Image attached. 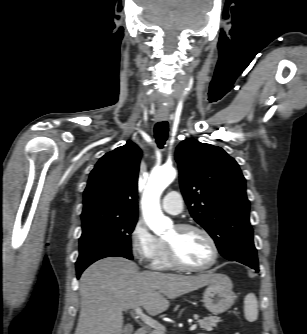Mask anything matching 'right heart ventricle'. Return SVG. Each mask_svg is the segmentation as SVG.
Returning <instances> with one entry per match:
<instances>
[{
    "mask_svg": "<svg viewBox=\"0 0 307 334\" xmlns=\"http://www.w3.org/2000/svg\"><path fill=\"white\" fill-rule=\"evenodd\" d=\"M160 241V247L158 249V251L156 252L154 258L151 261V266L154 269H158V270H169L173 268V265L171 264L168 255H167V251H166V247L163 241Z\"/></svg>",
    "mask_w": 307,
    "mask_h": 334,
    "instance_id": "obj_1",
    "label": "right heart ventricle"
}]
</instances>
